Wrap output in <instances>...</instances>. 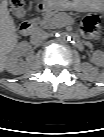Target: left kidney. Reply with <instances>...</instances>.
Masks as SVG:
<instances>
[{
    "mask_svg": "<svg viewBox=\"0 0 104 137\" xmlns=\"http://www.w3.org/2000/svg\"><path fill=\"white\" fill-rule=\"evenodd\" d=\"M104 61V55L101 51H95L93 54V62L102 65Z\"/></svg>",
    "mask_w": 104,
    "mask_h": 137,
    "instance_id": "5707ae66",
    "label": "left kidney"
}]
</instances>
